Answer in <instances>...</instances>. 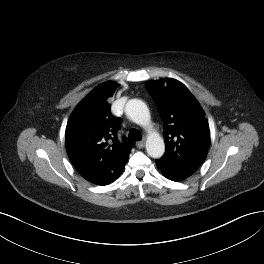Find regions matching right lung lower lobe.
Segmentation results:
<instances>
[{
	"label": "right lung lower lobe",
	"mask_w": 264,
	"mask_h": 264,
	"mask_svg": "<svg viewBox=\"0 0 264 264\" xmlns=\"http://www.w3.org/2000/svg\"><path fill=\"white\" fill-rule=\"evenodd\" d=\"M123 168L115 171H109L102 166L76 169L87 181L97 185H108L121 175Z\"/></svg>",
	"instance_id": "1"
}]
</instances>
